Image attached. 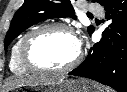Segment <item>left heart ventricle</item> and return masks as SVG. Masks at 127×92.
Segmentation results:
<instances>
[{
    "label": "left heart ventricle",
    "instance_id": "1",
    "mask_svg": "<svg viewBox=\"0 0 127 92\" xmlns=\"http://www.w3.org/2000/svg\"><path fill=\"white\" fill-rule=\"evenodd\" d=\"M76 38L61 30L48 31L34 40L30 47L33 62L45 68H60L78 53Z\"/></svg>",
    "mask_w": 127,
    "mask_h": 92
}]
</instances>
